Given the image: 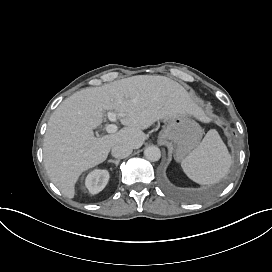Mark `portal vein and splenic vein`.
Wrapping results in <instances>:
<instances>
[{
  "mask_svg": "<svg viewBox=\"0 0 272 272\" xmlns=\"http://www.w3.org/2000/svg\"><path fill=\"white\" fill-rule=\"evenodd\" d=\"M120 116H125V114H120ZM108 118L111 122L117 121V115L115 113H108ZM117 131V126L114 124H109L106 126V132L107 133H114Z\"/></svg>",
  "mask_w": 272,
  "mask_h": 272,
  "instance_id": "1",
  "label": "portal vein and splenic vein"
}]
</instances>
